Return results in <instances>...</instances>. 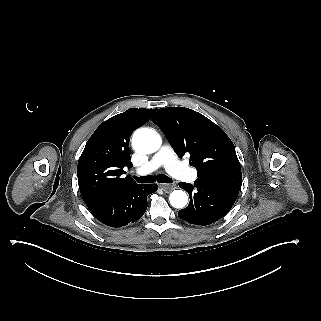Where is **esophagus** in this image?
<instances>
[{
    "instance_id": "34e87169",
    "label": "esophagus",
    "mask_w": 321,
    "mask_h": 321,
    "mask_svg": "<svg viewBox=\"0 0 321 321\" xmlns=\"http://www.w3.org/2000/svg\"><path fill=\"white\" fill-rule=\"evenodd\" d=\"M160 187L165 193H170L175 188V185L174 184H162V185H160Z\"/></svg>"
}]
</instances>
